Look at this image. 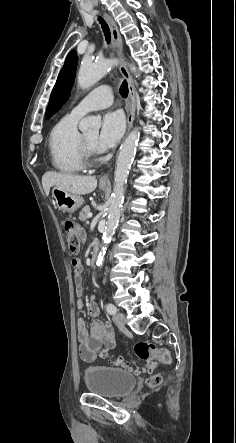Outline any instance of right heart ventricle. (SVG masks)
Returning a JSON list of instances; mask_svg holds the SVG:
<instances>
[{
  "mask_svg": "<svg viewBox=\"0 0 236 443\" xmlns=\"http://www.w3.org/2000/svg\"><path fill=\"white\" fill-rule=\"evenodd\" d=\"M80 117L67 114L52 128L48 147L52 166L63 173H78L85 168L77 122Z\"/></svg>",
  "mask_w": 236,
  "mask_h": 443,
  "instance_id": "e07e8e85",
  "label": "right heart ventricle"
}]
</instances>
